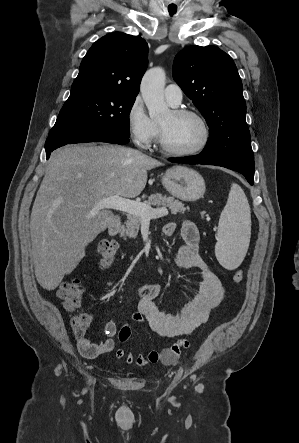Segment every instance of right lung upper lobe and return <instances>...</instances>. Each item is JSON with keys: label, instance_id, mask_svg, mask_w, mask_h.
Wrapping results in <instances>:
<instances>
[{"label": "right lung upper lobe", "instance_id": "right-lung-upper-lobe-1", "mask_svg": "<svg viewBox=\"0 0 299 443\" xmlns=\"http://www.w3.org/2000/svg\"><path fill=\"white\" fill-rule=\"evenodd\" d=\"M148 45L121 32L97 40L83 58L72 89H100L137 96L147 67Z\"/></svg>", "mask_w": 299, "mask_h": 443}]
</instances>
